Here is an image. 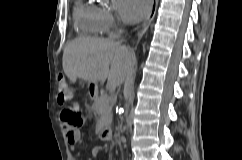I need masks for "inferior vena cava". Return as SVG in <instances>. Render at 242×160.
Returning a JSON list of instances; mask_svg holds the SVG:
<instances>
[{"label": "inferior vena cava", "instance_id": "inferior-vena-cava-1", "mask_svg": "<svg viewBox=\"0 0 242 160\" xmlns=\"http://www.w3.org/2000/svg\"><path fill=\"white\" fill-rule=\"evenodd\" d=\"M122 41H119L118 43H121ZM124 57L121 58V68L125 70L126 73H131L132 69L129 68L130 64L133 60H135V52L134 50H124Z\"/></svg>", "mask_w": 242, "mask_h": 160}]
</instances>
